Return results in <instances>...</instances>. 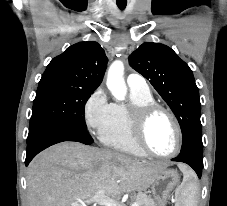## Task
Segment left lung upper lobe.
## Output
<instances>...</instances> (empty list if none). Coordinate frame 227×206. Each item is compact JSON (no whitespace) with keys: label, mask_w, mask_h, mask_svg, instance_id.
Masks as SVG:
<instances>
[{"label":"left lung upper lobe","mask_w":227,"mask_h":206,"mask_svg":"<svg viewBox=\"0 0 227 206\" xmlns=\"http://www.w3.org/2000/svg\"><path fill=\"white\" fill-rule=\"evenodd\" d=\"M130 66L143 75L175 114L182 131V149L203 153L201 104L192 70L168 46L143 43L129 56Z\"/></svg>","instance_id":"obj_1"}]
</instances>
